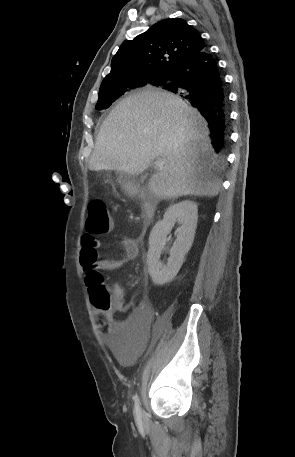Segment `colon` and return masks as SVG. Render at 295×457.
Returning <instances> with one entry per match:
<instances>
[{"instance_id": "5ec220e1", "label": "colon", "mask_w": 295, "mask_h": 457, "mask_svg": "<svg viewBox=\"0 0 295 457\" xmlns=\"http://www.w3.org/2000/svg\"><path fill=\"white\" fill-rule=\"evenodd\" d=\"M86 228L93 234H103L110 231L111 218L103 200L94 199L88 204ZM83 270L92 302L97 310L100 327L106 328L107 316L111 308L110 293L96 265L86 263Z\"/></svg>"}]
</instances>
